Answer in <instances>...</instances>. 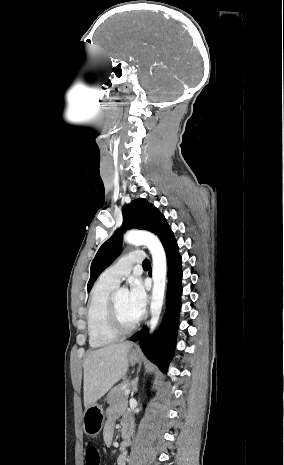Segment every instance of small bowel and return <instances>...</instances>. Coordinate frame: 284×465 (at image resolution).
Instances as JSON below:
<instances>
[{"label": "small bowel", "instance_id": "c3829d8e", "mask_svg": "<svg viewBox=\"0 0 284 465\" xmlns=\"http://www.w3.org/2000/svg\"><path fill=\"white\" fill-rule=\"evenodd\" d=\"M122 417V441L120 443V455L117 460V465H127V453L130 446V436L133 431V423L131 419L124 415V407L122 405L113 406L107 411V420L104 426L103 439L106 445H110L113 441L116 421Z\"/></svg>", "mask_w": 284, "mask_h": 465}]
</instances>
